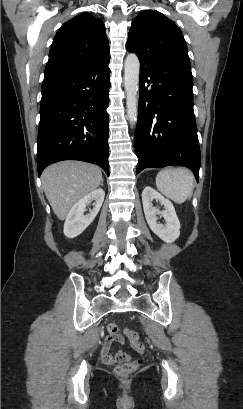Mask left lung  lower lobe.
Returning a JSON list of instances; mask_svg holds the SVG:
<instances>
[{"label": "left lung lower lobe", "instance_id": "1", "mask_svg": "<svg viewBox=\"0 0 243 409\" xmlns=\"http://www.w3.org/2000/svg\"><path fill=\"white\" fill-rule=\"evenodd\" d=\"M192 86L190 62L174 60L140 68L136 174L148 167L185 166L198 182L200 147Z\"/></svg>", "mask_w": 243, "mask_h": 409}]
</instances>
